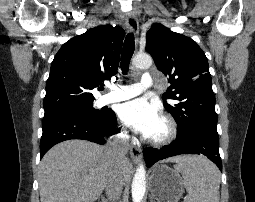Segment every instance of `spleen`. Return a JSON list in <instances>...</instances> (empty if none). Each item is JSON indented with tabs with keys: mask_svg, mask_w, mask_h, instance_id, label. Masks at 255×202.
Returning <instances> with one entry per match:
<instances>
[{
	"mask_svg": "<svg viewBox=\"0 0 255 202\" xmlns=\"http://www.w3.org/2000/svg\"><path fill=\"white\" fill-rule=\"evenodd\" d=\"M174 168L182 174L188 192L184 202H219L220 172L211 161L188 156Z\"/></svg>",
	"mask_w": 255,
	"mask_h": 202,
	"instance_id": "obj_1",
	"label": "spleen"
}]
</instances>
